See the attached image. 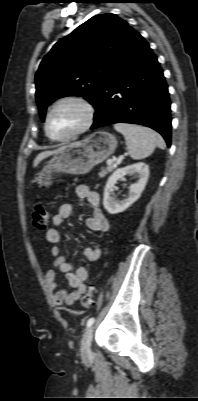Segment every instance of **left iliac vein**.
Returning <instances> with one entry per match:
<instances>
[{"instance_id": "obj_1", "label": "left iliac vein", "mask_w": 198, "mask_h": 401, "mask_svg": "<svg viewBox=\"0 0 198 401\" xmlns=\"http://www.w3.org/2000/svg\"><path fill=\"white\" fill-rule=\"evenodd\" d=\"M93 337V326H90L85 331L81 340V356L88 358L91 356V341Z\"/></svg>"}]
</instances>
